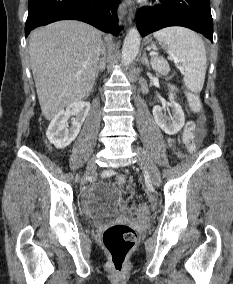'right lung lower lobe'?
Returning <instances> with one entry per match:
<instances>
[{"label": "right lung lower lobe", "instance_id": "98d812e1", "mask_svg": "<svg viewBox=\"0 0 233 284\" xmlns=\"http://www.w3.org/2000/svg\"><path fill=\"white\" fill-rule=\"evenodd\" d=\"M120 0H29L25 36L38 26L75 19L118 35L117 6Z\"/></svg>", "mask_w": 233, "mask_h": 284}]
</instances>
